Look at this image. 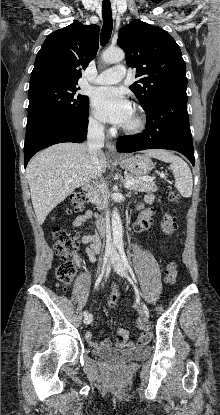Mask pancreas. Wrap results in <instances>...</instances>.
Segmentation results:
<instances>
[{"mask_svg": "<svg viewBox=\"0 0 220 415\" xmlns=\"http://www.w3.org/2000/svg\"><path fill=\"white\" fill-rule=\"evenodd\" d=\"M134 179L135 182L130 186V189L138 192H156L158 190L155 182L144 181L142 177H135L131 174L125 176V180L128 181ZM109 193L104 186L95 188L90 193V201L95 204L99 209H105L108 205Z\"/></svg>", "mask_w": 220, "mask_h": 415, "instance_id": "pancreas-1", "label": "pancreas"}]
</instances>
